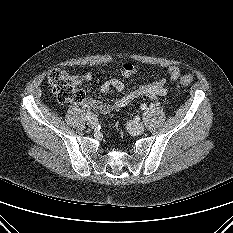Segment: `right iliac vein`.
I'll return each instance as SVG.
<instances>
[{
    "label": "right iliac vein",
    "mask_w": 233,
    "mask_h": 233,
    "mask_svg": "<svg viewBox=\"0 0 233 233\" xmlns=\"http://www.w3.org/2000/svg\"><path fill=\"white\" fill-rule=\"evenodd\" d=\"M97 124H98V120H97V118H95V117H92V118L87 122V125H88L90 128L96 127Z\"/></svg>",
    "instance_id": "right-iliac-vein-1"
}]
</instances>
